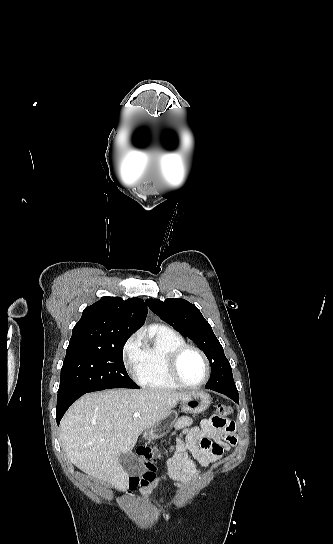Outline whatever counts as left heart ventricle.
Masks as SVG:
<instances>
[{"label": "left heart ventricle", "instance_id": "left-heart-ventricle-1", "mask_svg": "<svg viewBox=\"0 0 333 544\" xmlns=\"http://www.w3.org/2000/svg\"><path fill=\"white\" fill-rule=\"evenodd\" d=\"M180 374L189 384H198L206 376V367L202 358L195 352L186 353L180 362Z\"/></svg>", "mask_w": 333, "mask_h": 544}]
</instances>
